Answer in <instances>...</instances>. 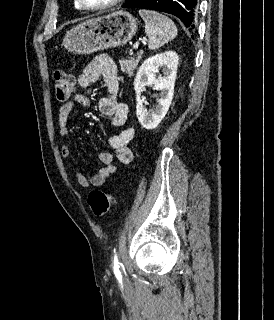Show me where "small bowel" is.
I'll return each mask as SVG.
<instances>
[{"mask_svg": "<svg viewBox=\"0 0 274 320\" xmlns=\"http://www.w3.org/2000/svg\"><path fill=\"white\" fill-rule=\"evenodd\" d=\"M102 80L107 94L99 101V111L111 117V125L122 128L117 134L108 137L107 143L113 152H103L99 155L103 167L93 176L87 177L81 171H75V178L81 187H97L103 185L115 172V161L121 164H129L133 159V153L129 143L134 137V129L129 125L128 106L117 98L120 83L116 67L112 59L106 54L96 56L78 75L77 81L81 88H88ZM75 103L85 107L90 106V100L82 95L75 94L70 100L59 107L58 126L59 133L65 137L69 134L68 120ZM60 154L64 159L70 156V147L62 145Z\"/></svg>", "mask_w": 274, "mask_h": 320, "instance_id": "obj_1", "label": "small bowel"}]
</instances>
